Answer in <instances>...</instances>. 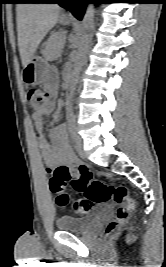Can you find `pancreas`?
Returning <instances> with one entry per match:
<instances>
[{
  "mask_svg": "<svg viewBox=\"0 0 166 267\" xmlns=\"http://www.w3.org/2000/svg\"><path fill=\"white\" fill-rule=\"evenodd\" d=\"M64 36L61 33H55L51 35L46 43L45 50L43 51V57L47 61L56 59L62 49Z\"/></svg>",
  "mask_w": 166,
  "mask_h": 267,
  "instance_id": "cf45deb5",
  "label": "pancreas"
}]
</instances>
